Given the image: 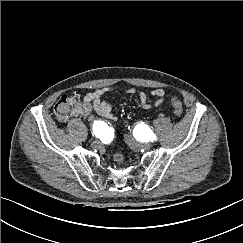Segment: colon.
<instances>
[{"label": "colon", "instance_id": "5ec220e1", "mask_svg": "<svg viewBox=\"0 0 243 243\" xmlns=\"http://www.w3.org/2000/svg\"><path fill=\"white\" fill-rule=\"evenodd\" d=\"M79 104L80 99L77 96L62 95L54 106V114L59 121H65L73 115L75 110L79 107ZM170 104L173 108L174 114L181 116L183 112L182 102L178 98L172 97L170 99ZM115 160L117 163L121 164L123 162L122 155L116 154Z\"/></svg>", "mask_w": 243, "mask_h": 243}]
</instances>
